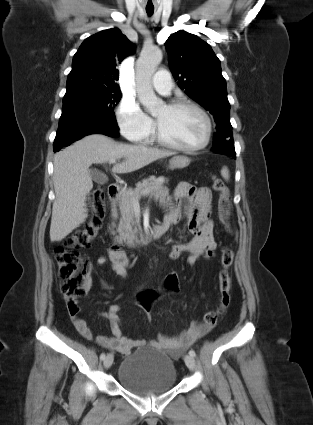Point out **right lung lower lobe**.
I'll return each mask as SVG.
<instances>
[{
	"mask_svg": "<svg viewBox=\"0 0 313 425\" xmlns=\"http://www.w3.org/2000/svg\"><path fill=\"white\" fill-rule=\"evenodd\" d=\"M90 134L119 135L115 115L68 106L63 108L54 140V152Z\"/></svg>",
	"mask_w": 313,
	"mask_h": 425,
	"instance_id": "obj_1",
	"label": "right lung lower lobe"
}]
</instances>
